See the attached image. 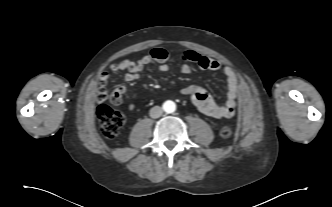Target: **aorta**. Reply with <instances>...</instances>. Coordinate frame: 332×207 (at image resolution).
Returning <instances> with one entry per match:
<instances>
[{"instance_id": "aorta-1", "label": "aorta", "mask_w": 332, "mask_h": 207, "mask_svg": "<svg viewBox=\"0 0 332 207\" xmlns=\"http://www.w3.org/2000/svg\"><path fill=\"white\" fill-rule=\"evenodd\" d=\"M163 110L166 113H173L176 110V104L175 102L171 100H167L163 103Z\"/></svg>"}]
</instances>
